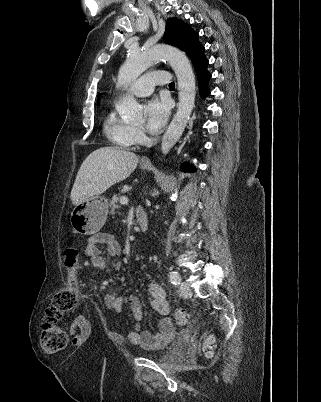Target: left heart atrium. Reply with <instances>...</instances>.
<instances>
[{"label":"left heart atrium","instance_id":"1","mask_svg":"<svg viewBox=\"0 0 321 402\" xmlns=\"http://www.w3.org/2000/svg\"><path fill=\"white\" fill-rule=\"evenodd\" d=\"M170 105L165 99H151L145 106L146 127L151 133H158L168 120Z\"/></svg>","mask_w":321,"mask_h":402}]
</instances>
